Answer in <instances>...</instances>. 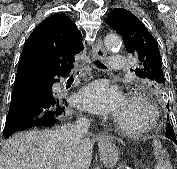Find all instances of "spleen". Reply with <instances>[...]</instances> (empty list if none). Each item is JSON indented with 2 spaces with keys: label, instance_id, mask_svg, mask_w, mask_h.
<instances>
[{
  "label": "spleen",
  "instance_id": "1",
  "mask_svg": "<svg viewBox=\"0 0 177 169\" xmlns=\"http://www.w3.org/2000/svg\"><path fill=\"white\" fill-rule=\"evenodd\" d=\"M154 154L156 156L155 169H173L167 152L163 149L162 144L159 140H153Z\"/></svg>",
  "mask_w": 177,
  "mask_h": 169
}]
</instances>
